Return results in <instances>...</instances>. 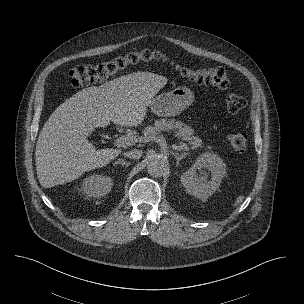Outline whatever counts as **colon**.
<instances>
[{
    "label": "colon",
    "mask_w": 304,
    "mask_h": 304,
    "mask_svg": "<svg viewBox=\"0 0 304 304\" xmlns=\"http://www.w3.org/2000/svg\"><path fill=\"white\" fill-rule=\"evenodd\" d=\"M162 59H164V56L160 52L143 49L105 62L76 66L68 73V85L74 88L84 87L105 81L117 73L140 63ZM175 67L182 75L197 84L212 86L221 90H225L230 86L228 73L222 67L198 68L183 64H175ZM225 106L229 113L235 114L245 108L246 100L240 95L229 94L225 99ZM227 141L233 151L243 153L247 147L248 136L243 131H235L228 134Z\"/></svg>",
    "instance_id": "1"
}]
</instances>
